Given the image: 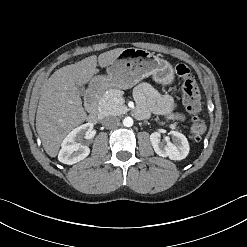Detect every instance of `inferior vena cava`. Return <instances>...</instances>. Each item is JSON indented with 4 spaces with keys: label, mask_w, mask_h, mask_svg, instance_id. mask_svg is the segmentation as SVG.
Listing matches in <instances>:
<instances>
[{
    "label": "inferior vena cava",
    "mask_w": 247,
    "mask_h": 247,
    "mask_svg": "<svg viewBox=\"0 0 247 247\" xmlns=\"http://www.w3.org/2000/svg\"><path fill=\"white\" fill-rule=\"evenodd\" d=\"M119 118L117 116H107L102 120V125L108 128L115 127L119 124Z\"/></svg>",
    "instance_id": "inferior-vena-cava-1"
}]
</instances>
